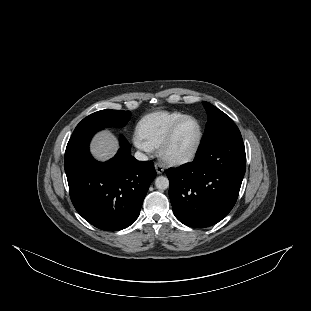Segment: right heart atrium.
<instances>
[{"label":"right heart atrium","mask_w":311,"mask_h":311,"mask_svg":"<svg viewBox=\"0 0 311 311\" xmlns=\"http://www.w3.org/2000/svg\"><path fill=\"white\" fill-rule=\"evenodd\" d=\"M133 144L134 146L142 151L145 152L147 154H151L152 153V147L149 146L148 144H146L144 141H142L141 139H139L138 137H134L133 138Z\"/></svg>","instance_id":"obj_1"}]
</instances>
